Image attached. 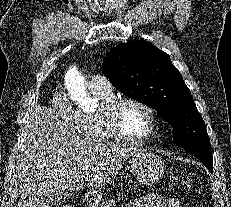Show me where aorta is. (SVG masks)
Wrapping results in <instances>:
<instances>
[{"mask_svg": "<svg viewBox=\"0 0 231 207\" xmlns=\"http://www.w3.org/2000/svg\"><path fill=\"white\" fill-rule=\"evenodd\" d=\"M65 85L70 99L76 102L79 107L86 108L94 104V100L86 90L84 78L75 69L71 68L65 76Z\"/></svg>", "mask_w": 231, "mask_h": 207, "instance_id": "1", "label": "aorta"}]
</instances>
